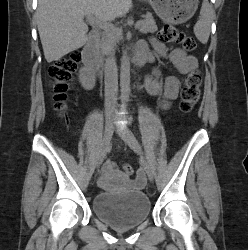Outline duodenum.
I'll list each match as a JSON object with an SVG mask.
<instances>
[{
    "mask_svg": "<svg viewBox=\"0 0 248 250\" xmlns=\"http://www.w3.org/2000/svg\"><path fill=\"white\" fill-rule=\"evenodd\" d=\"M100 38L99 33L93 30L83 48L82 59L84 64L93 70L96 74L101 75L102 63L98 56ZM148 60V56L142 52L136 53L131 58V63L134 67H140Z\"/></svg>",
    "mask_w": 248,
    "mask_h": 250,
    "instance_id": "1",
    "label": "duodenum"
}]
</instances>
